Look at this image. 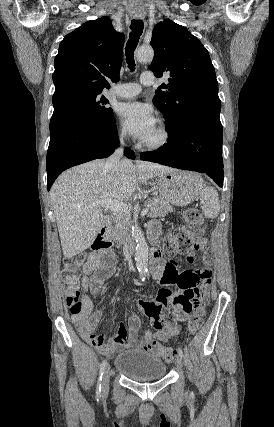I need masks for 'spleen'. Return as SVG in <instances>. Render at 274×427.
Segmentation results:
<instances>
[{"label": "spleen", "instance_id": "obj_1", "mask_svg": "<svg viewBox=\"0 0 274 427\" xmlns=\"http://www.w3.org/2000/svg\"><path fill=\"white\" fill-rule=\"evenodd\" d=\"M203 180H198L197 190L195 192L200 194V200L202 204V212L205 217H217L220 210V200L218 196V192L211 188V186H207V188H203Z\"/></svg>", "mask_w": 274, "mask_h": 427}]
</instances>
